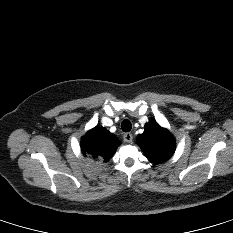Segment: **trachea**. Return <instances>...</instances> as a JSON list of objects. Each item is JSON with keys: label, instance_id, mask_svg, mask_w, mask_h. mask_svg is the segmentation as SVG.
Listing matches in <instances>:
<instances>
[{"label": "trachea", "instance_id": "1", "mask_svg": "<svg viewBox=\"0 0 233 233\" xmlns=\"http://www.w3.org/2000/svg\"><path fill=\"white\" fill-rule=\"evenodd\" d=\"M121 128H122V131L129 132L132 128V124L128 119H125L121 123Z\"/></svg>", "mask_w": 233, "mask_h": 233}]
</instances>
